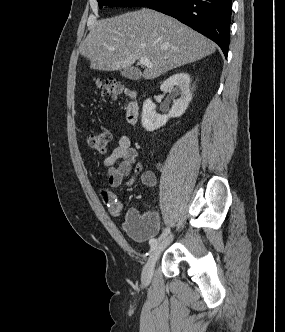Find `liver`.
<instances>
[{
	"label": "liver",
	"instance_id": "obj_1",
	"mask_svg": "<svg viewBox=\"0 0 285 332\" xmlns=\"http://www.w3.org/2000/svg\"><path fill=\"white\" fill-rule=\"evenodd\" d=\"M215 50V43L205 36L151 9L96 21L80 46L81 55L96 70L126 69L136 60L147 58L153 67L144 70L146 80L198 61Z\"/></svg>",
	"mask_w": 285,
	"mask_h": 332
}]
</instances>
